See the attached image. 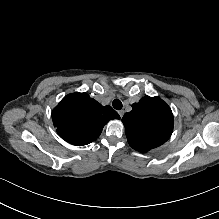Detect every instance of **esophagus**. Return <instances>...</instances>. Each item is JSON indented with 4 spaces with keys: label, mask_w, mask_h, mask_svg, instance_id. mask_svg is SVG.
<instances>
[{
    "label": "esophagus",
    "mask_w": 219,
    "mask_h": 219,
    "mask_svg": "<svg viewBox=\"0 0 219 219\" xmlns=\"http://www.w3.org/2000/svg\"><path fill=\"white\" fill-rule=\"evenodd\" d=\"M118 113H119L120 117L122 118L124 115V110H120Z\"/></svg>",
    "instance_id": "34e87169"
}]
</instances>
